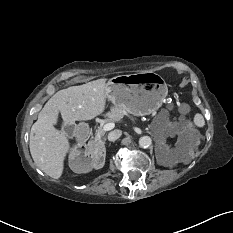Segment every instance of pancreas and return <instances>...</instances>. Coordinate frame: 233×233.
<instances>
[{"label":"pancreas","instance_id":"1","mask_svg":"<svg viewBox=\"0 0 233 233\" xmlns=\"http://www.w3.org/2000/svg\"><path fill=\"white\" fill-rule=\"evenodd\" d=\"M125 110L115 107L111 109V112L106 114V120H117L123 116Z\"/></svg>","mask_w":233,"mask_h":233}]
</instances>
